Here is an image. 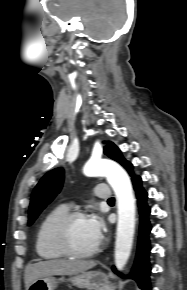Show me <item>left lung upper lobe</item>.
<instances>
[{"label":"left lung upper lobe","instance_id":"1","mask_svg":"<svg viewBox=\"0 0 187 290\" xmlns=\"http://www.w3.org/2000/svg\"><path fill=\"white\" fill-rule=\"evenodd\" d=\"M104 151L105 154H107L111 159L123 165L132 175V164L123 158L117 146H115L112 142H109L107 146L104 147ZM136 177L138 176L133 175L132 180H134ZM63 178V169L56 168L49 171L39 181L32 193L31 203L29 207L28 225H31L35 221L41 211L60 192L63 184Z\"/></svg>","mask_w":187,"mask_h":290}]
</instances>
